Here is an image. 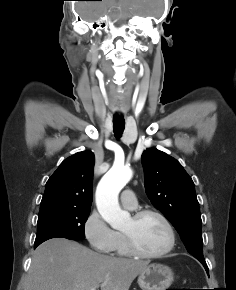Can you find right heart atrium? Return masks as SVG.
<instances>
[{
	"label": "right heart atrium",
	"mask_w": 236,
	"mask_h": 290,
	"mask_svg": "<svg viewBox=\"0 0 236 290\" xmlns=\"http://www.w3.org/2000/svg\"><path fill=\"white\" fill-rule=\"evenodd\" d=\"M83 234L90 247L98 253H110L116 243V232L112 230L99 212L94 209L83 223Z\"/></svg>",
	"instance_id": "d8ad5b80"
}]
</instances>
